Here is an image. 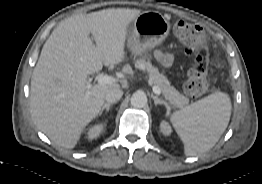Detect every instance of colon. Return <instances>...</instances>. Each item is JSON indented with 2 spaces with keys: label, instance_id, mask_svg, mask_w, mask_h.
Returning <instances> with one entry per match:
<instances>
[{
  "label": "colon",
  "instance_id": "obj_1",
  "mask_svg": "<svg viewBox=\"0 0 262 184\" xmlns=\"http://www.w3.org/2000/svg\"><path fill=\"white\" fill-rule=\"evenodd\" d=\"M176 39L189 55L195 57L187 73L184 89L191 97H199L208 90L207 63L204 56L206 34L204 29L194 23L180 20L174 25Z\"/></svg>",
  "mask_w": 262,
  "mask_h": 184
}]
</instances>
